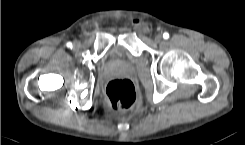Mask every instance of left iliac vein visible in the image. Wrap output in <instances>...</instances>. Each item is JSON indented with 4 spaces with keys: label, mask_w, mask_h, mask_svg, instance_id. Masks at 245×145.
Segmentation results:
<instances>
[{
    "label": "left iliac vein",
    "mask_w": 245,
    "mask_h": 145,
    "mask_svg": "<svg viewBox=\"0 0 245 145\" xmlns=\"http://www.w3.org/2000/svg\"><path fill=\"white\" fill-rule=\"evenodd\" d=\"M162 40V35L158 34L155 36V41L160 42Z\"/></svg>",
    "instance_id": "4c4485c4"
}]
</instances>
